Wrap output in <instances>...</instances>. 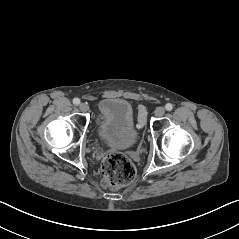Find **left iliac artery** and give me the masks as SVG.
Wrapping results in <instances>:
<instances>
[{
    "mask_svg": "<svg viewBox=\"0 0 239 239\" xmlns=\"http://www.w3.org/2000/svg\"><path fill=\"white\" fill-rule=\"evenodd\" d=\"M165 109H166L167 111H171V110L173 109V105H172L171 103H167V104L165 105Z\"/></svg>",
    "mask_w": 239,
    "mask_h": 239,
    "instance_id": "1",
    "label": "left iliac artery"
}]
</instances>
